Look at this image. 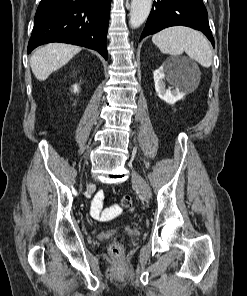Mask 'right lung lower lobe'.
<instances>
[{"label": "right lung lower lobe", "instance_id": "98d812e1", "mask_svg": "<svg viewBox=\"0 0 247 296\" xmlns=\"http://www.w3.org/2000/svg\"><path fill=\"white\" fill-rule=\"evenodd\" d=\"M111 0H41L28 53L49 42H63L98 51L107 59L106 36Z\"/></svg>", "mask_w": 247, "mask_h": 296}]
</instances>
